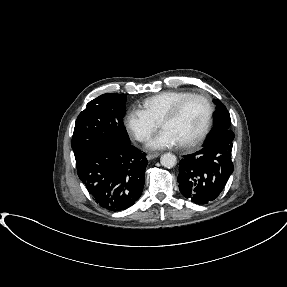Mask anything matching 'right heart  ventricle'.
Masks as SVG:
<instances>
[{"mask_svg": "<svg viewBox=\"0 0 287 287\" xmlns=\"http://www.w3.org/2000/svg\"><path fill=\"white\" fill-rule=\"evenodd\" d=\"M190 92L180 90H167L144 99L140 107L156 122H160L163 115L181 98Z\"/></svg>", "mask_w": 287, "mask_h": 287, "instance_id": "e07e8e85", "label": "right heart ventricle"}]
</instances>
